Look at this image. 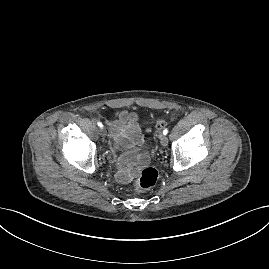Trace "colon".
<instances>
[{"label":"colon","mask_w":269,"mask_h":269,"mask_svg":"<svg viewBox=\"0 0 269 269\" xmlns=\"http://www.w3.org/2000/svg\"><path fill=\"white\" fill-rule=\"evenodd\" d=\"M164 121L161 119H157L155 121V127L160 129L164 126ZM158 179V172L155 168L147 167L144 168L140 173L139 176L134 184L136 190H145L152 188Z\"/></svg>","instance_id":"obj_1"}]
</instances>
